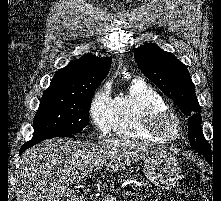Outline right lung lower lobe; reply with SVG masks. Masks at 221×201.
Returning a JSON list of instances; mask_svg holds the SVG:
<instances>
[{
  "label": "right lung lower lobe",
  "mask_w": 221,
  "mask_h": 201,
  "mask_svg": "<svg viewBox=\"0 0 221 201\" xmlns=\"http://www.w3.org/2000/svg\"><path fill=\"white\" fill-rule=\"evenodd\" d=\"M53 137H70V138H75L74 134H60V133H51L47 135H42L36 138H32L30 141L26 142L20 149V154H22L26 149L34 146L35 144L39 143L42 140L48 139V138H53Z\"/></svg>",
  "instance_id": "obj_1"
}]
</instances>
